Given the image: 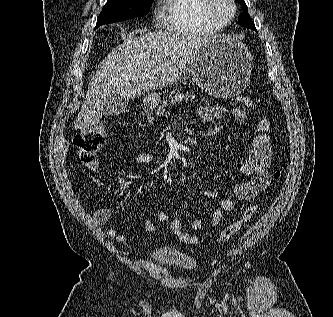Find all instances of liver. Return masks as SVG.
Masks as SVG:
<instances>
[{
	"instance_id": "obj_1",
	"label": "liver",
	"mask_w": 333,
	"mask_h": 317,
	"mask_svg": "<svg viewBox=\"0 0 333 317\" xmlns=\"http://www.w3.org/2000/svg\"><path fill=\"white\" fill-rule=\"evenodd\" d=\"M213 37L156 31L130 36L102 61L90 80L75 129L95 126L113 96L135 98L176 83L198 49Z\"/></svg>"
}]
</instances>
